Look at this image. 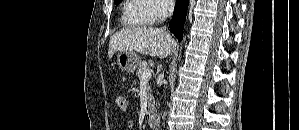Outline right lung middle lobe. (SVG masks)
I'll return each instance as SVG.
<instances>
[{
  "label": "right lung middle lobe",
  "instance_id": "right-lung-middle-lobe-1",
  "mask_svg": "<svg viewBox=\"0 0 299 130\" xmlns=\"http://www.w3.org/2000/svg\"><path fill=\"white\" fill-rule=\"evenodd\" d=\"M121 2V0H118V1H116V2H114L115 4H118V3H120Z\"/></svg>",
  "mask_w": 299,
  "mask_h": 130
}]
</instances>
